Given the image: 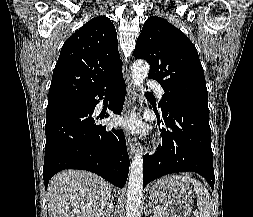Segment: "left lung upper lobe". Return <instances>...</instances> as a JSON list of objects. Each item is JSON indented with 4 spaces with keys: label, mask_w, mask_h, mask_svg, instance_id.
Here are the masks:
<instances>
[{
    "label": "left lung upper lobe",
    "mask_w": 253,
    "mask_h": 217,
    "mask_svg": "<svg viewBox=\"0 0 253 217\" xmlns=\"http://www.w3.org/2000/svg\"><path fill=\"white\" fill-rule=\"evenodd\" d=\"M133 55L150 64L149 78L165 91L158 107L183 104L208 109L204 71L193 43L167 20L148 18L139 35Z\"/></svg>",
    "instance_id": "5c2ea615"
}]
</instances>
